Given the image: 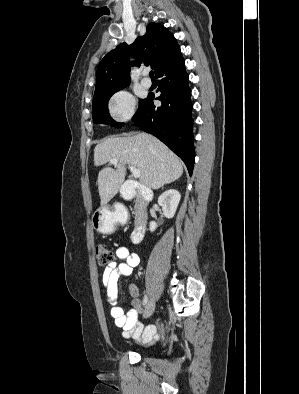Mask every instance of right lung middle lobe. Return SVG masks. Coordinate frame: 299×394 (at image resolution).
<instances>
[{"mask_svg":"<svg viewBox=\"0 0 299 394\" xmlns=\"http://www.w3.org/2000/svg\"><path fill=\"white\" fill-rule=\"evenodd\" d=\"M125 87L127 86L116 89L102 90L94 93L92 102V115L95 123L110 124L116 128H119L123 125V123H117L110 117L108 113V100L115 92ZM142 101V99L139 101V105L142 103Z\"/></svg>","mask_w":299,"mask_h":394,"instance_id":"right-lung-middle-lobe-1","label":"right lung middle lobe"}]
</instances>
